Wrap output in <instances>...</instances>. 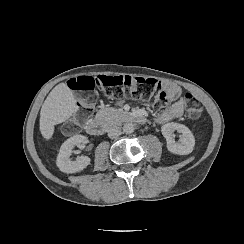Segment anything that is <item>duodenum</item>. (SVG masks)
Wrapping results in <instances>:
<instances>
[{
    "label": "duodenum",
    "mask_w": 244,
    "mask_h": 244,
    "mask_svg": "<svg viewBox=\"0 0 244 244\" xmlns=\"http://www.w3.org/2000/svg\"><path fill=\"white\" fill-rule=\"evenodd\" d=\"M122 121L126 123L144 124L146 117L142 114H126L122 117ZM114 125L111 120H90L86 124V131L93 136H102L107 130Z\"/></svg>",
    "instance_id": "obj_1"
}]
</instances>
